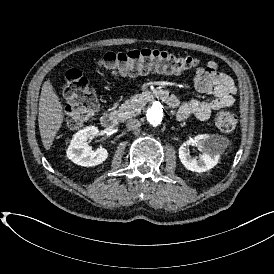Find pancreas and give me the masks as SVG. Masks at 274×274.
I'll use <instances>...</instances> for the list:
<instances>
[{"instance_id": "obj_1", "label": "pancreas", "mask_w": 274, "mask_h": 274, "mask_svg": "<svg viewBox=\"0 0 274 274\" xmlns=\"http://www.w3.org/2000/svg\"><path fill=\"white\" fill-rule=\"evenodd\" d=\"M134 98L135 97H131L129 100H126L117 110L118 118L121 121H125L140 113L141 104L135 102Z\"/></svg>"}]
</instances>
